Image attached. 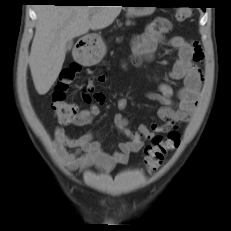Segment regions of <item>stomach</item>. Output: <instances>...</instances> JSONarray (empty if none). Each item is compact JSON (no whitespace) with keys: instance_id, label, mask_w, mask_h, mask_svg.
Segmentation results:
<instances>
[{"instance_id":"obj_1","label":"stomach","mask_w":231,"mask_h":231,"mask_svg":"<svg viewBox=\"0 0 231 231\" xmlns=\"http://www.w3.org/2000/svg\"><path fill=\"white\" fill-rule=\"evenodd\" d=\"M131 3L135 4H156L154 0H134ZM156 7H127V15L129 17H141L150 15ZM106 53V45L100 37L88 43L82 53L81 62L85 65H94L102 60Z\"/></svg>"}]
</instances>
